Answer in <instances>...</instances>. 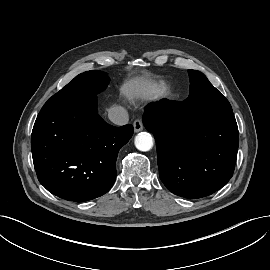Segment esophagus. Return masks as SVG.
I'll list each match as a JSON object with an SVG mask.
<instances>
[{"label":"esophagus","instance_id":"esophagus-1","mask_svg":"<svg viewBox=\"0 0 270 270\" xmlns=\"http://www.w3.org/2000/svg\"><path fill=\"white\" fill-rule=\"evenodd\" d=\"M133 127H134V132L137 133V132H140L143 130V123L141 120L137 119L134 121L133 123Z\"/></svg>","mask_w":270,"mask_h":270}]
</instances>
